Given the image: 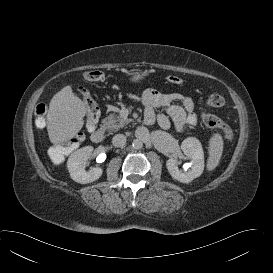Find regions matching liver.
<instances>
[{
	"instance_id": "obj_1",
	"label": "liver",
	"mask_w": 273,
	"mask_h": 273,
	"mask_svg": "<svg viewBox=\"0 0 273 273\" xmlns=\"http://www.w3.org/2000/svg\"><path fill=\"white\" fill-rule=\"evenodd\" d=\"M84 102L67 86L50 101L47 113V131L53 144H61L78 134L84 124Z\"/></svg>"
}]
</instances>
